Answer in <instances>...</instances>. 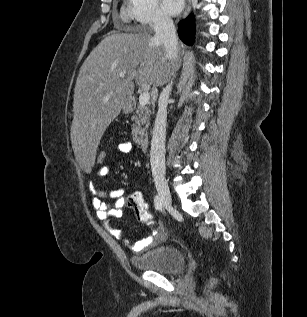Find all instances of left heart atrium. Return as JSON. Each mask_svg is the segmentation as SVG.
I'll use <instances>...</instances> for the list:
<instances>
[{"label": "left heart atrium", "instance_id": "39dd6f15", "mask_svg": "<svg viewBox=\"0 0 307 317\" xmlns=\"http://www.w3.org/2000/svg\"><path fill=\"white\" fill-rule=\"evenodd\" d=\"M161 5L167 14L176 15L182 10L184 0H161Z\"/></svg>", "mask_w": 307, "mask_h": 317}]
</instances>
